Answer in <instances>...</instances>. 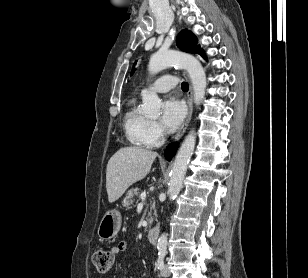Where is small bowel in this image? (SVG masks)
Here are the masks:
<instances>
[{"mask_svg": "<svg viewBox=\"0 0 308 278\" xmlns=\"http://www.w3.org/2000/svg\"><path fill=\"white\" fill-rule=\"evenodd\" d=\"M127 249V243L124 241L119 242L115 246L111 247V251L114 255H118L120 253H123Z\"/></svg>", "mask_w": 308, "mask_h": 278, "instance_id": "c3829d8e", "label": "small bowel"}]
</instances>
